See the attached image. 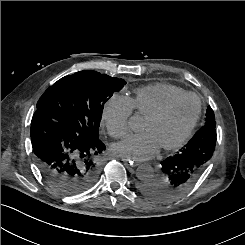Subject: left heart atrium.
<instances>
[{
	"mask_svg": "<svg viewBox=\"0 0 245 245\" xmlns=\"http://www.w3.org/2000/svg\"><path fill=\"white\" fill-rule=\"evenodd\" d=\"M160 146L151 133L145 131L140 134L126 136L122 141L113 145L116 154L134 160H146L154 156Z\"/></svg>",
	"mask_w": 245,
	"mask_h": 245,
	"instance_id": "left-heart-atrium-1",
	"label": "left heart atrium"
}]
</instances>
